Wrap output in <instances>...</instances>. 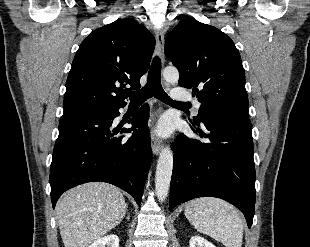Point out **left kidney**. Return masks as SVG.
Wrapping results in <instances>:
<instances>
[{"label":"left kidney","instance_id":"obj_1","mask_svg":"<svg viewBox=\"0 0 310 247\" xmlns=\"http://www.w3.org/2000/svg\"><path fill=\"white\" fill-rule=\"evenodd\" d=\"M189 245L190 247H215L212 243L200 236H192Z\"/></svg>","mask_w":310,"mask_h":247}]
</instances>
